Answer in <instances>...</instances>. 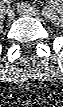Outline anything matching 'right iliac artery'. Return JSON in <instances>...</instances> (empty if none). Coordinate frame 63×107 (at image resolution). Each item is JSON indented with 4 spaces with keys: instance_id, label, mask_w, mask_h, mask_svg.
I'll return each instance as SVG.
<instances>
[{
    "instance_id": "obj_1",
    "label": "right iliac artery",
    "mask_w": 63,
    "mask_h": 107,
    "mask_svg": "<svg viewBox=\"0 0 63 107\" xmlns=\"http://www.w3.org/2000/svg\"><path fill=\"white\" fill-rule=\"evenodd\" d=\"M5 1L7 2V5H8L7 8L9 9V8H10V6H9V1H7V0H5ZM8 9H7V10H8Z\"/></svg>"
}]
</instances>
